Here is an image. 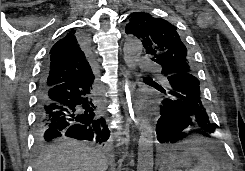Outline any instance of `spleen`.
I'll use <instances>...</instances> for the list:
<instances>
[{
	"label": "spleen",
	"mask_w": 245,
	"mask_h": 171,
	"mask_svg": "<svg viewBox=\"0 0 245 171\" xmlns=\"http://www.w3.org/2000/svg\"><path fill=\"white\" fill-rule=\"evenodd\" d=\"M185 155L195 156L198 159L197 165L191 171H221L214 157L201 149L188 150L185 152Z\"/></svg>",
	"instance_id": "3e777b00"
}]
</instances>
